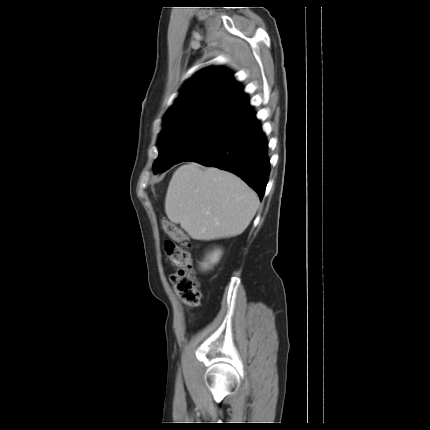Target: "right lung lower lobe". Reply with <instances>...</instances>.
Returning <instances> with one entry per match:
<instances>
[{"label":"right lung lower lobe","mask_w":430,"mask_h":430,"mask_svg":"<svg viewBox=\"0 0 430 430\" xmlns=\"http://www.w3.org/2000/svg\"><path fill=\"white\" fill-rule=\"evenodd\" d=\"M242 95L243 90L241 92ZM185 161L230 171L243 179L262 199L268 182V144L252 109L230 129Z\"/></svg>","instance_id":"1"}]
</instances>
